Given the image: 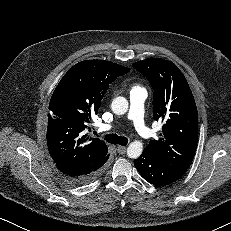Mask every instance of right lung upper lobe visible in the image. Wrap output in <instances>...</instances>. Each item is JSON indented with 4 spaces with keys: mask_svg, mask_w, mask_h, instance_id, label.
Listing matches in <instances>:
<instances>
[{
    "mask_svg": "<svg viewBox=\"0 0 231 231\" xmlns=\"http://www.w3.org/2000/svg\"><path fill=\"white\" fill-rule=\"evenodd\" d=\"M129 71L111 61L85 60L63 76L49 104L47 145L54 162L83 166L108 155L105 142L85 132L109 84Z\"/></svg>",
    "mask_w": 231,
    "mask_h": 231,
    "instance_id": "right-lung-upper-lobe-1",
    "label": "right lung upper lobe"
}]
</instances>
